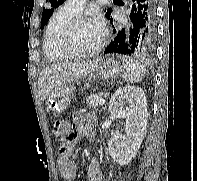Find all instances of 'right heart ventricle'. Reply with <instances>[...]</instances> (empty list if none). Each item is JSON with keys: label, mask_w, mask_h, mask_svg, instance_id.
I'll use <instances>...</instances> for the list:
<instances>
[{"label": "right heart ventricle", "mask_w": 197, "mask_h": 181, "mask_svg": "<svg viewBox=\"0 0 197 181\" xmlns=\"http://www.w3.org/2000/svg\"><path fill=\"white\" fill-rule=\"evenodd\" d=\"M76 15L62 6L50 18L43 40V53L47 61L61 62L69 59L60 49V38L65 26Z\"/></svg>", "instance_id": "right-heart-ventricle-1"}]
</instances>
